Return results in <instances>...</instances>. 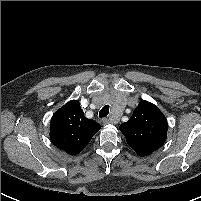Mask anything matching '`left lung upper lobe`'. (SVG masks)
<instances>
[{
    "mask_svg": "<svg viewBox=\"0 0 201 201\" xmlns=\"http://www.w3.org/2000/svg\"><path fill=\"white\" fill-rule=\"evenodd\" d=\"M119 128L128 145L139 156H146L164 144L168 125L165 116L154 104L142 100L131 118Z\"/></svg>",
    "mask_w": 201,
    "mask_h": 201,
    "instance_id": "5c2ea615",
    "label": "left lung upper lobe"
}]
</instances>
